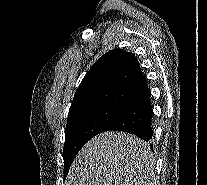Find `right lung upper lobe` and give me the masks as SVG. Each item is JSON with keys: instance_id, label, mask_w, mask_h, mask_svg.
<instances>
[{"instance_id": "right-lung-upper-lobe-1", "label": "right lung upper lobe", "mask_w": 207, "mask_h": 185, "mask_svg": "<svg viewBox=\"0 0 207 185\" xmlns=\"http://www.w3.org/2000/svg\"><path fill=\"white\" fill-rule=\"evenodd\" d=\"M148 90L136 57L114 49L100 57L84 76L68 116L100 106L125 109Z\"/></svg>"}]
</instances>
